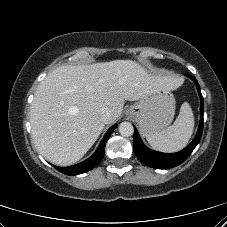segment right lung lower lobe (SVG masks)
Masks as SVG:
<instances>
[{
  "instance_id": "right-lung-lower-lobe-1",
  "label": "right lung lower lobe",
  "mask_w": 227,
  "mask_h": 227,
  "mask_svg": "<svg viewBox=\"0 0 227 227\" xmlns=\"http://www.w3.org/2000/svg\"><path fill=\"white\" fill-rule=\"evenodd\" d=\"M115 127H116V124L113 125L106 132V134L104 135L102 141L100 142L97 150L87 160H85L79 164L69 166V167H58V166H54V167L58 171L66 174V175H78V174H82V173H85V172L93 169L103 158L106 142H107L109 136L111 135V133L113 132V130L115 129Z\"/></svg>"
}]
</instances>
